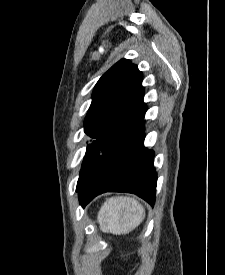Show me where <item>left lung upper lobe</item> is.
I'll use <instances>...</instances> for the list:
<instances>
[{"instance_id":"obj_1","label":"left lung upper lobe","mask_w":225,"mask_h":275,"mask_svg":"<svg viewBox=\"0 0 225 275\" xmlns=\"http://www.w3.org/2000/svg\"><path fill=\"white\" fill-rule=\"evenodd\" d=\"M142 78L136 65L122 59L97 82L84 121V132L92 141L87 145L77 186L87 179L102 155L144 116L147 106Z\"/></svg>"}]
</instances>
